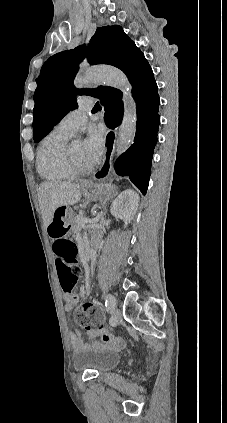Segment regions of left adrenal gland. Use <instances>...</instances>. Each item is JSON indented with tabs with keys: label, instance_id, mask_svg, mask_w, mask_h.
Segmentation results:
<instances>
[{
	"label": "left adrenal gland",
	"instance_id": "obj_1",
	"mask_svg": "<svg viewBox=\"0 0 227 423\" xmlns=\"http://www.w3.org/2000/svg\"><path fill=\"white\" fill-rule=\"evenodd\" d=\"M103 215L107 213V204H102Z\"/></svg>",
	"mask_w": 227,
	"mask_h": 423
}]
</instances>
